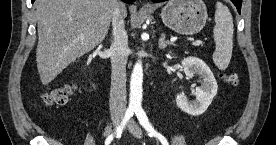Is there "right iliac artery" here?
I'll return each mask as SVG.
<instances>
[{
  "instance_id": "82829eb1",
  "label": "right iliac artery",
  "mask_w": 276,
  "mask_h": 145,
  "mask_svg": "<svg viewBox=\"0 0 276 145\" xmlns=\"http://www.w3.org/2000/svg\"><path fill=\"white\" fill-rule=\"evenodd\" d=\"M134 112H135V108H133V107H128V108H127V110H126V112H125V115H124V117H123V119H122L120 125H118V126L116 127V130H115L114 133L110 134V135L106 138V140H105V145H109V144L112 142V140H113L115 134H116V135H121V134H122V131H123L125 125H126L127 122L130 120V118L133 116Z\"/></svg>"
}]
</instances>
